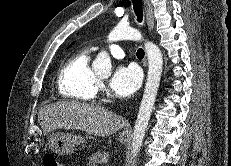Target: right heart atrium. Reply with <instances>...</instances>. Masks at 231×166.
Returning a JSON list of instances; mask_svg holds the SVG:
<instances>
[{
  "label": "right heart atrium",
  "mask_w": 231,
  "mask_h": 166,
  "mask_svg": "<svg viewBox=\"0 0 231 166\" xmlns=\"http://www.w3.org/2000/svg\"><path fill=\"white\" fill-rule=\"evenodd\" d=\"M103 89H104L103 84L101 82H98V84H97V90L98 91H103Z\"/></svg>",
  "instance_id": "1"
}]
</instances>
